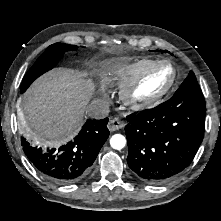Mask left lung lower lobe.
I'll return each mask as SVG.
<instances>
[{
  "instance_id": "1",
  "label": "left lung lower lobe",
  "mask_w": 221,
  "mask_h": 221,
  "mask_svg": "<svg viewBox=\"0 0 221 221\" xmlns=\"http://www.w3.org/2000/svg\"><path fill=\"white\" fill-rule=\"evenodd\" d=\"M205 114V107L174 106L169 100L128 116L127 163L135 175L159 184L188 167L204 137Z\"/></svg>"
}]
</instances>
